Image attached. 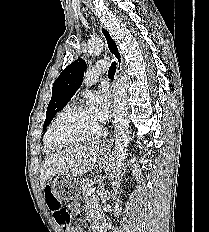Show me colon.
Masks as SVG:
<instances>
[{
	"label": "colon",
	"mask_w": 209,
	"mask_h": 232,
	"mask_svg": "<svg viewBox=\"0 0 209 232\" xmlns=\"http://www.w3.org/2000/svg\"><path fill=\"white\" fill-rule=\"evenodd\" d=\"M45 197L48 207L52 211L54 220L56 221V225L63 228L68 227L71 222V212L69 207L62 206L50 190L46 191Z\"/></svg>",
	"instance_id": "obj_1"
}]
</instances>
